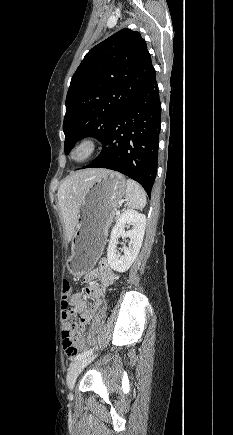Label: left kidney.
I'll return each instance as SVG.
<instances>
[{"label": "left kidney", "instance_id": "5707ae66", "mask_svg": "<svg viewBox=\"0 0 233 435\" xmlns=\"http://www.w3.org/2000/svg\"><path fill=\"white\" fill-rule=\"evenodd\" d=\"M125 224H132L131 230L125 231ZM146 216L135 210H125L117 220L112 229L110 241L107 248V259L109 266L117 272L127 271L136 259L142 246L145 233ZM130 239L128 247L123 248L124 255L117 253L119 237Z\"/></svg>", "mask_w": 233, "mask_h": 435}]
</instances>
